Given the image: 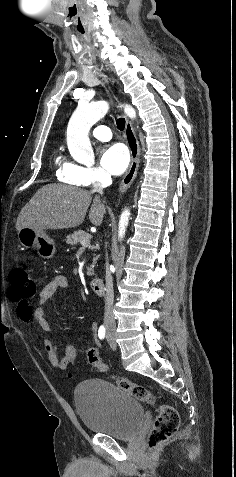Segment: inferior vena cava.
Masks as SVG:
<instances>
[{
    "label": "inferior vena cava",
    "mask_w": 236,
    "mask_h": 477,
    "mask_svg": "<svg viewBox=\"0 0 236 477\" xmlns=\"http://www.w3.org/2000/svg\"><path fill=\"white\" fill-rule=\"evenodd\" d=\"M112 183L111 177L109 175L101 179L97 185L94 186L93 191L99 194H102L103 188L109 186ZM113 302H114V291H113V279L108 265H106V296H105V313L104 321L106 325H115V319L113 315Z\"/></svg>",
    "instance_id": "1"
}]
</instances>
